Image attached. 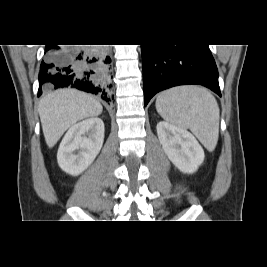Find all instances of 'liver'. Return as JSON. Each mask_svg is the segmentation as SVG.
Returning <instances> with one entry per match:
<instances>
[{
    "mask_svg": "<svg viewBox=\"0 0 267 267\" xmlns=\"http://www.w3.org/2000/svg\"><path fill=\"white\" fill-rule=\"evenodd\" d=\"M102 110L96 99L75 89L49 93L38 109L46 144L52 148L66 130L80 120L100 115Z\"/></svg>",
    "mask_w": 267,
    "mask_h": 267,
    "instance_id": "obj_1",
    "label": "liver"
}]
</instances>
